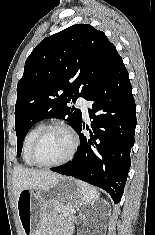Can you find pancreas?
Masks as SVG:
<instances>
[{"label":"pancreas","instance_id":"pancreas-1","mask_svg":"<svg viewBox=\"0 0 155 235\" xmlns=\"http://www.w3.org/2000/svg\"><path fill=\"white\" fill-rule=\"evenodd\" d=\"M57 211L64 214L67 217H70V210L64 209V208H57Z\"/></svg>","mask_w":155,"mask_h":235}]
</instances>
